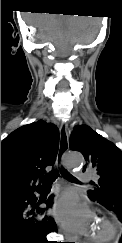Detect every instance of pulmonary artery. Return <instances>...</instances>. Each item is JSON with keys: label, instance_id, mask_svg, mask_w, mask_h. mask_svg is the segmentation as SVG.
<instances>
[{"label": "pulmonary artery", "instance_id": "obj_1", "mask_svg": "<svg viewBox=\"0 0 122 243\" xmlns=\"http://www.w3.org/2000/svg\"><path fill=\"white\" fill-rule=\"evenodd\" d=\"M79 179L82 182L92 180L94 178V175L92 172H79Z\"/></svg>", "mask_w": 122, "mask_h": 243}]
</instances>
